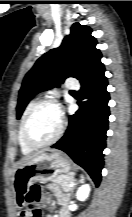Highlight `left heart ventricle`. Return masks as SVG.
Listing matches in <instances>:
<instances>
[{"instance_id": "obj_1", "label": "left heart ventricle", "mask_w": 132, "mask_h": 217, "mask_svg": "<svg viewBox=\"0 0 132 217\" xmlns=\"http://www.w3.org/2000/svg\"><path fill=\"white\" fill-rule=\"evenodd\" d=\"M60 115L55 107L44 105L32 117L28 126V136L34 143H44L52 139L58 131Z\"/></svg>"}]
</instances>
